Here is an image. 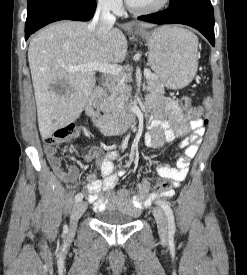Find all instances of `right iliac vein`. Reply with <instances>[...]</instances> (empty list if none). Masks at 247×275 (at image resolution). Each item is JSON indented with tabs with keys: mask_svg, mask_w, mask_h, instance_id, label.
Listing matches in <instances>:
<instances>
[{
	"mask_svg": "<svg viewBox=\"0 0 247 275\" xmlns=\"http://www.w3.org/2000/svg\"><path fill=\"white\" fill-rule=\"evenodd\" d=\"M87 208V204L84 201L77 202L72 210L71 214V220H70V227L68 235L71 237L74 235L76 230V225L79 220V218L82 216V214L85 212Z\"/></svg>",
	"mask_w": 247,
	"mask_h": 275,
	"instance_id": "1",
	"label": "right iliac vein"
}]
</instances>
